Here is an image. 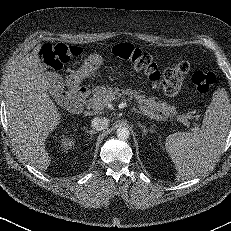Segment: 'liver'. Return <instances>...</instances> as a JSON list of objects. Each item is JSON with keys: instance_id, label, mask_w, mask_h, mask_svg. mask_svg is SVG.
<instances>
[{"instance_id": "6515ba94", "label": "liver", "mask_w": 231, "mask_h": 231, "mask_svg": "<svg viewBox=\"0 0 231 231\" xmlns=\"http://www.w3.org/2000/svg\"><path fill=\"white\" fill-rule=\"evenodd\" d=\"M41 45L17 65L6 91L9 132L21 153L39 169L50 157L45 142L60 124L61 113L48 95L49 81L39 58Z\"/></svg>"}]
</instances>
